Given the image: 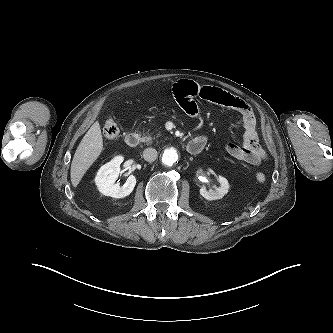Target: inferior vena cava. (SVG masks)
<instances>
[{
  "label": "inferior vena cava",
  "mask_w": 333,
  "mask_h": 333,
  "mask_svg": "<svg viewBox=\"0 0 333 333\" xmlns=\"http://www.w3.org/2000/svg\"><path fill=\"white\" fill-rule=\"evenodd\" d=\"M158 153L154 148H146L143 151V158L148 162H153L156 160Z\"/></svg>",
  "instance_id": "602c4592"
}]
</instances>
